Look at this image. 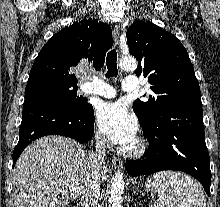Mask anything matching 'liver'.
Segmentation results:
<instances>
[{
	"mask_svg": "<svg viewBox=\"0 0 220 207\" xmlns=\"http://www.w3.org/2000/svg\"><path fill=\"white\" fill-rule=\"evenodd\" d=\"M88 158L81 144L63 136H46L31 143L13 171L15 207L68 206L80 196L90 173ZM107 177L108 168L103 166L100 182Z\"/></svg>",
	"mask_w": 220,
	"mask_h": 207,
	"instance_id": "1",
	"label": "liver"
}]
</instances>
